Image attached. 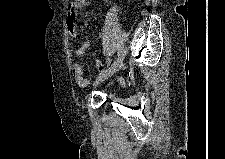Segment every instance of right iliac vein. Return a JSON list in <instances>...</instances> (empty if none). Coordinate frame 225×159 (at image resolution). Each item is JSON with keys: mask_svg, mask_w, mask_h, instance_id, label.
Returning a JSON list of instances; mask_svg holds the SVG:
<instances>
[{"mask_svg": "<svg viewBox=\"0 0 225 159\" xmlns=\"http://www.w3.org/2000/svg\"><path fill=\"white\" fill-rule=\"evenodd\" d=\"M125 55H126V51L123 50L120 53V55L117 58V60L114 62V64L105 73H103L102 75H100L96 79V81L94 82V86L95 87L100 85L101 83H103L105 80H107L109 77H111L112 75H114L118 71V69L121 67V65L123 63Z\"/></svg>", "mask_w": 225, "mask_h": 159, "instance_id": "1", "label": "right iliac vein"}]
</instances>
